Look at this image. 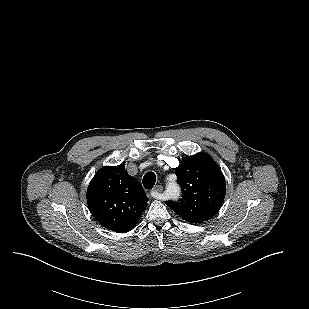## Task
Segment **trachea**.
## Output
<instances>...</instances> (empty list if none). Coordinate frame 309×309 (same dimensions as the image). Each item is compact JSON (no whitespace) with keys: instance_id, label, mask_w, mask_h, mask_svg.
Listing matches in <instances>:
<instances>
[{"instance_id":"3493384b","label":"trachea","mask_w":309,"mask_h":309,"mask_svg":"<svg viewBox=\"0 0 309 309\" xmlns=\"http://www.w3.org/2000/svg\"><path fill=\"white\" fill-rule=\"evenodd\" d=\"M142 182L146 189H152L156 182V175L153 172H147L144 175Z\"/></svg>"}]
</instances>
